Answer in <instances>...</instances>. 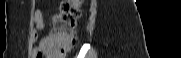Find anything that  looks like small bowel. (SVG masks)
Here are the masks:
<instances>
[{"instance_id":"small-bowel-1","label":"small bowel","mask_w":181,"mask_h":58,"mask_svg":"<svg viewBox=\"0 0 181 58\" xmlns=\"http://www.w3.org/2000/svg\"><path fill=\"white\" fill-rule=\"evenodd\" d=\"M34 24H35V36L38 37V34L43 31L44 27H45V23H44V15L43 12L40 8H37L34 12ZM47 42H48V37H45L43 39L40 40L39 45L34 48L33 52L35 57L38 54H44L48 51V46H47Z\"/></svg>"}]
</instances>
